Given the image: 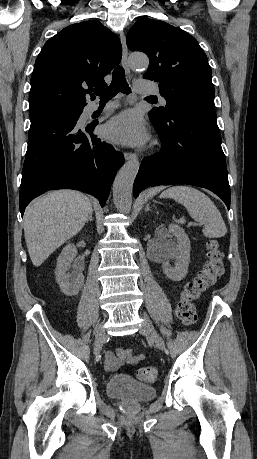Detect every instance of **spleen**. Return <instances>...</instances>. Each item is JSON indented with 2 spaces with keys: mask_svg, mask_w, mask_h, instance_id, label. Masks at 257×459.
<instances>
[{
  "mask_svg": "<svg viewBox=\"0 0 257 459\" xmlns=\"http://www.w3.org/2000/svg\"><path fill=\"white\" fill-rule=\"evenodd\" d=\"M182 204L192 219L203 224V234L209 238H220L227 233L221 213L212 200L203 192L190 186H173L161 194Z\"/></svg>",
  "mask_w": 257,
  "mask_h": 459,
  "instance_id": "obj_1",
  "label": "spleen"
}]
</instances>
